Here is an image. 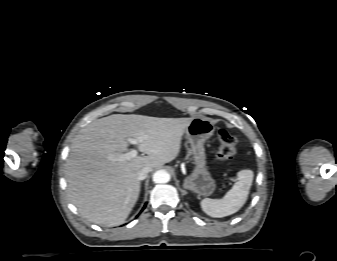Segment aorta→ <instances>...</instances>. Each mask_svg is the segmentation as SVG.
Listing matches in <instances>:
<instances>
[{
    "mask_svg": "<svg viewBox=\"0 0 337 261\" xmlns=\"http://www.w3.org/2000/svg\"><path fill=\"white\" fill-rule=\"evenodd\" d=\"M155 183H167L170 181V174L165 170H158L153 174Z\"/></svg>",
    "mask_w": 337,
    "mask_h": 261,
    "instance_id": "aorta-1",
    "label": "aorta"
}]
</instances>
